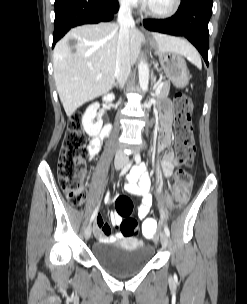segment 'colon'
I'll list each match as a JSON object with an SVG mask.
<instances>
[{
	"label": "colon",
	"instance_id": "1",
	"mask_svg": "<svg viewBox=\"0 0 247 304\" xmlns=\"http://www.w3.org/2000/svg\"><path fill=\"white\" fill-rule=\"evenodd\" d=\"M175 104V149L182 166H190L195 154V142L191 124L192 101L184 94H177ZM88 153L82 129V115L75 113L71 116L67 131L60 149L58 160V179L68 201L80 206L85 201L83 179L86 172L85 157ZM191 184L189 173L180 168L173 185V195L177 204L182 205ZM133 210L132 201L128 197H120L116 202V212L125 219L120 224V231L125 237H136L140 233L138 222L130 217ZM157 228L153 219L144 224L143 238H152Z\"/></svg>",
	"mask_w": 247,
	"mask_h": 304
}]
</instances>
